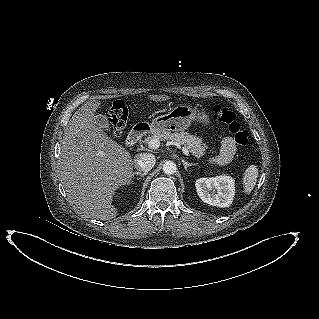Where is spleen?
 Wrapping results in <instances>:
<instances>
[{
  "mask_svg": "<svg viewBox=\"0 0 319 319\" xmlns=\"http://www.w3.org/2000/svg\"><path fill=\"white\" fill-rule=\"evenodd\" d=\"M258 168L255 165H250L244 172L243 176V187L244 193L249 194L254 189L257 178H258Z\"/></svg>",
  "mask_w": 319,
  "mask_h": 319,
  "instance_id": "obj_1",
  "label": "spleen"
}]
</instances>
